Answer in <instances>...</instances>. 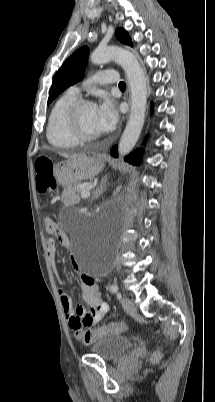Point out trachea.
I'll use <instances>...</instances> for the list:
<instances>
[{
	"label": "trachea",
	"mask_w": 215,
	"mask_h": 402,
	"mask_svg": "<svg viewBox=\"0 0 215 402\" xmlns=\"http://www.w3.org/2000/svg\"><path fill=\"white\" fill-rule=\"evenodd\" d=\"M119 88H126V84L124 82L119 83Z\"/></svg>",
	"instance_id": "3493384b"
}]
</instances>
